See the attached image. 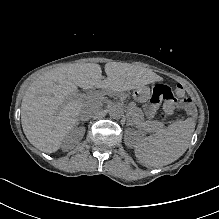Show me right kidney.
Returning <instances> with one entry per match:
<instances>
[{
	"label": "right kidney",
	"instance_id": "ca27d5eb",
	"mask_svg": "<svg viewBox=\"0 0 219 219\" xmlns=\"http://www.w3.org/2000/svg\"><path fill=\"white\" fill-rule=\"evenodd\" d=\"M72 136H73V130H71L70 133L68 134V139H69L70 142H73ZM82 137H83V134L81 133V134H80V137L78 138V140H80ZM60 150H61L62 152H65L66 150H68V145L63 142V143L61 144V146H60Z\"/></svg>",
	"mask_w": 219,
	"mask_h": 219
}]
</instances>
